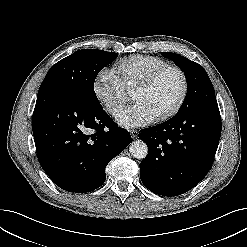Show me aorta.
<instances>
[{
  "mask_svg": "<svg viewBox=\"0 0 247 247\" xmlns=\"http://www.w3.org/2000/svg\"><path fill=\"white\" fill-rule=\"evenodd\" d=\"M129 152L134 158L144 159L148 154V147L146 143L141 140L132 141L129 146Z\"/></svg>",
  "mask_w": 247,
  "mask_h": 247,
  "instance_id": "1",
  "label": "aorta"
}]
</instances>
